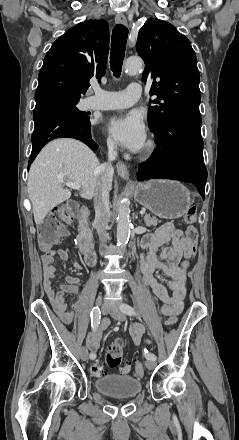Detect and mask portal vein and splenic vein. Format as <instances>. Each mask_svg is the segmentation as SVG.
<instances>
[{
    "label": "portal vein and splenic vein",
    "instance_id": "portal-vein-and-splenic-vein-1",
    "mask_svg": "<svg viewBox=\"0 0 239 440\" xmlns=\"http://www.w3.org/2000/svg\"><path fill=\"white\" fill-rule=\"evenodd\" d=\"M59 182H62L64 186H67V188H73V190H80L81 186L79 184H75V182H64L63 178H58ZM140 214L144 215L145 211L140 210Z\"/></svg>",
    "mask_w": 239,
    "mask_h": 440
}]
</instances>
